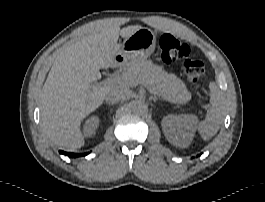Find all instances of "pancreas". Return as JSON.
Here are the masks:
<instances>
[{
  "instance_id": "pancreas-1",
  "label": "pancreas",
  "mask_w": 265,
  "mask_h": 202,
  "mask_svg": "<svg viewBox=\"0 0 265 202\" xmlns=\"http://www.w3.org/2000/svg\"><path fill=\"white\" fill-rule=\"evenodd\" d=\"M122 75L127 76L128 85L146 83L158 95L177 104H187L191 93L176 76L166 73L151 61H131L127 63Z\"/></svg>"
}]
</instances>
